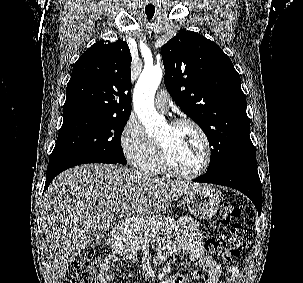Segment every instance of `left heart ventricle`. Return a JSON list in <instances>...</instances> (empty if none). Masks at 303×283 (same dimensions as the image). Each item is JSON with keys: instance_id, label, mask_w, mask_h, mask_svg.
<instances>
[{"instance_id": "left-heart-ventricle-1", "label": "left heart ventricle", "mask_w": 303, "mask_h": 283, "mask_svg": "<svg viewBox=\"0 0 303 283\" xmlns=\"http://www.w3.org/2000/svg\"><path fill=\"white\" fill-rule=\"evenodd\" d=\"M156 139L164 144L173 165L182 172L197 170L204 159V148L198 133L190 126H164Z\"/></svg>"}]
</instances>
